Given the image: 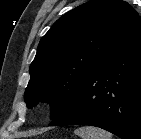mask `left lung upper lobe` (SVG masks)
<instances>
[{
    "label": "left lung upper lobe",
    "mask_w": 141,
    "mask_h": 139,
    "mask_svg": "<svg viewBox=\"0 0 141 139\" xmlns=\"http://www.w3.org/2000/svg\"><path fill=\"white\" fill-rule=\"evenodd\" d=\"M141 31L138 13L122 0H91L59 18L30 65L27 107L51 103V119L72 102L88 75Z\"/></svg>",
    "instance_id": "5c2ea615"
}]
</instances>
